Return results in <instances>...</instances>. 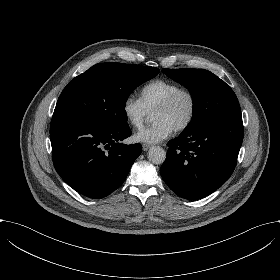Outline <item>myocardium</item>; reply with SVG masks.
<instances>
[{
  "instance_id": "f54148a6",
  "label": "myocardium",
  "mask_w": 280,
  "mask_h": 280,
  "mask_svg": "<svg viewBox=\"0 0 280 280\" xmlns=\"http://www.w3.org/2000/svg\"><path fill=\"white\" fill-rule=\"evenodd\" d=\"M182 95L189 96L191 100V111L188 118L175 128L176 131L187 130L192 126V124L196 119L197 112H198V98L196 93L191 88L180 87L177 91L171 94L167 99H165L160 104H158L154 110V111H158V110H164L172 107Z\"/></svg>"
}]
</instances>
